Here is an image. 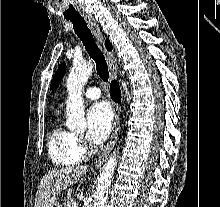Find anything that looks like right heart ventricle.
Returning a JSON list of instances; mask_svg holds the SVG:
<instances>
[{
	"label": "right heart ventricle",
	"instance_id": "obj_1",
	"mask_svg": "<svg viewBox=\"0 0 220 207\" xmlns=\"http://www.w3.org/2000/svg\"><path fill=\"white\" fill-rule=\"evenodd\" d=\"M48 154L57 166H72L82 161L84 153L76 135L57 124L48 138Z\"/></svg>",
	"mask_w": 220,
	"mask_h": 207
}]
</instances>
